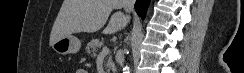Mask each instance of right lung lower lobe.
I'll return each mask as SVG.
<instances>
[{"label": "right lung lower lobe", "mask_w": 244, "mask_h": 73, "mask_svg": "<svg viewBox=\"0 0 244 73\" xmlns=\"http://www.w3.org/2000/svg\"><path fill=\"white\" fill-rule=\"evenodd\" d=\"M150 0H137L135 3V9L137 14L144 18L147 7L149 5Z\"/></svg>", "instance_id": "98d812e1"}]
</instances>
